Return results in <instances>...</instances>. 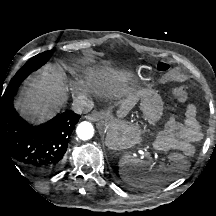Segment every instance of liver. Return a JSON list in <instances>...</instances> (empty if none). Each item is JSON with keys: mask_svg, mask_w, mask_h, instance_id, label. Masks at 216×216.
<instances>
[{"mask_svg": "<svg viewBox=\"0 0 216 216\" xmlns=\"http://www.w3.org/2000/svg\"><path fill=\"white\" fill-rule=\"evenodd\" d=\"M60 67L45 66L32 78L16 101L20 113L32 123H41L54 116L67 100V88ZM131 75L110 68L94 72L92 83L104 90L116 91L123 96V108L130 110L141 97L142 91L130 82Z\"/></svg>", "mask_w": 216, "mask_h": 216, "instance_id": "6515ba94", "label": "liver"}]
</instances>
